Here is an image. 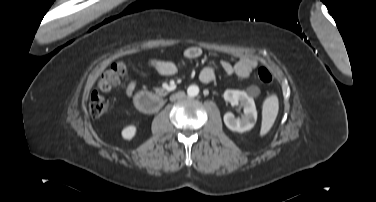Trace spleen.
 Here are the masks:
<instances>
[{"label":"spleen","mask_w":376,"mask_h":202,"mask_svg":"<svg viewBox=\"0 0 376 202\" xmlns=\"http://www.w3.org/2000/svg\"><path fill=\"white\" fill-rule=\"evenodd\" d=\"M278 98L275 95L268 97L263 104V112H262V126L260 134L263 136L265 135L276 119L278 114Z\"/></svg>","instance_id":"3e777b00"}]
</instances>
